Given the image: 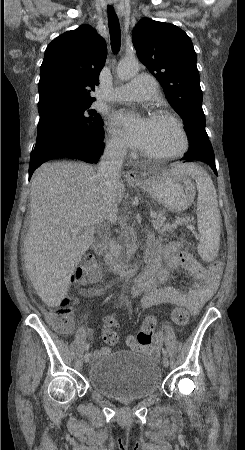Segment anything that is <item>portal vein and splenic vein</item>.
Instances as JSON below:
<instances>
[{
	"label": "portal vein and splenic vein",
	"instance_id": "18ae733b",
	"mask_svg": "<svg viewBox=\"0 0 245 450\" xmlns=\"http://www.w3.org/2000/svg\"><path fill=\"white\" fill-rule=\"evenodd\" d=\"M150 217L151 218H156L157 217V213L156 212H150ZM80 231H81V228H79V227H75V228H72L70 230L72 235H77Z\"/></svg>",
	"mask_w": 245,
	"mask_h": 450
}]
</instances>
